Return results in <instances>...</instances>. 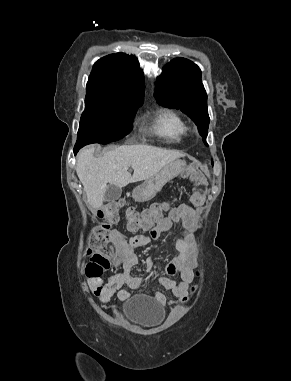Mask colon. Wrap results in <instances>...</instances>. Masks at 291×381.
<instances>
[{
	"mask_svg": "<svg viewBox=\"0 0 291 381\" xmlns=\"http://www.w3.org/2000/svg\"><path fill=\"white\" fill-rule=\"evenodd\" d=\"M204 192V185H198L194 189L191 198L195 205L203 202ZM166 209L167 205L164 203L154 204L141 213L128 208L126 210L128 230L135 232L153 229L156 224L164 219ZM120 211L121 205L118 202L107 203L99 211V217L103 223L97 229L96 242L86 267V273L89 277H100L110 267L111 250L107 242L112 237L111 225L119 220Z\"/></svg>",
	"mask_w": 291,
	"mask_h": 381,
	"instance_id": "5ec220e1",
	"label": "colon"
}]
</instances>
